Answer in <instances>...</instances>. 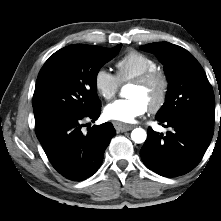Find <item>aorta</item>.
I'll use <instances>...</instances> for the list:
<instances>
[{"instance_id":"1","label":"aorta","mask_w":221,"mask_h":221,"mask_svg":"<svg viewBox=\"0 0 221 221\" xmlns=\"http://www.w3.org/2000/svg\"><path fill=\"white\" fill-rule=\"evenodd\" d=\"M147 133L144 129L142 128H136L132 131L131 133V139L135 143H143L146 140Z\"/></svg>"}]
</instances>
